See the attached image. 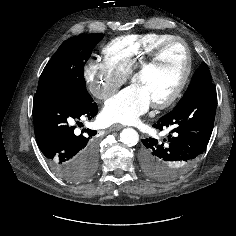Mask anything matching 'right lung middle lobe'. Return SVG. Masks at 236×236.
<instances>
[{
  "label": "right lung middle lobe",
  "mask_w": 236,
  "mask_h": 236,
  "mask_svg": "<svg viewBox=\"0 0 236 236\" xmlns=\"http://www.w3.org/2000/svg\"><path fill=\"white\" fill-rule=\"evenodd\" d=\"M103 37L104 34H85L63 42L45 66L35 95L54 94L93 101L86 90L83 68L92 49ZM96 165L97 159L93 158L80 166L77 181L88 178Z\"/></svg>",
  "instance_id": "1"
}]
</instances>
